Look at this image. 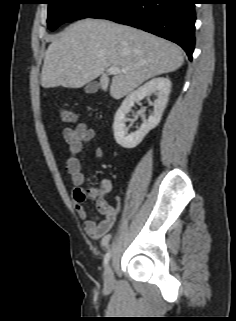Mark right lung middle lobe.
<instances>
[{
	"label": "right lung middle lobe",
	"mask_w": 236,
	"mask_h": 321,
	"mask_svg": "<svg viewBox=\"0 0 236 321\" xmlns=\"http://www.w3.org/2000/svg\"><path fill=\"white\" fill-rule=\"evenodd\" d=\"M111 0H46L48 7V28L56 29L59 25L82 18L104 8Z\"/></svg>",
	"instance_id": "obj_1"
}]
</instances>
